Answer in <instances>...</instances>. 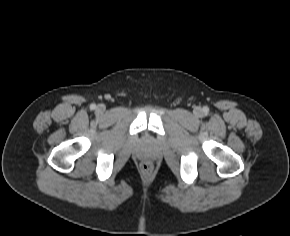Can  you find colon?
<instances>
[{
  "label": "colon",
  "instance_id": "5ec220e1",
  "mask_svg": "<svg viewBox=\"0 0 290 236\" xmlns=\"http://www.w3.org/2000/svg\"><path fill=\"white\" fill-rule=\"evenodd\" d=\"M142 169H143V171H145V172L150 171V169H151V164L148 163V162H144V163L142 164Z\"/></svg>",
  "mask_w": 290,
  "mask_h": 236
}]
</instances>
